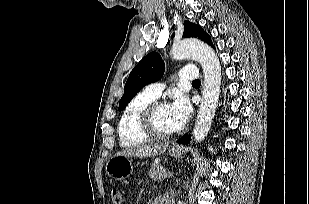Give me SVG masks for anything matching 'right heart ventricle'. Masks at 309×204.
I'll return each instance as SVG.
<instances>
[{
    "label": "right heart ventricle",
    "mask_w": 309,
    "mask_h": 204,
    "mask_svg": "<svg viewBox=\"0 0 309 204\" xmlns=\"http://www.w3.org/2000/svg\"><path fill=\"white\" fill-rule=\"evenodd\" d=\"M155 99V97L142 91L134 96L126 105L118 123V137L122 146H135L149 140L139 129L138 116L141 110Z\"/></svg>",
    "instance_id": "obj_1"
}]
</instances>
